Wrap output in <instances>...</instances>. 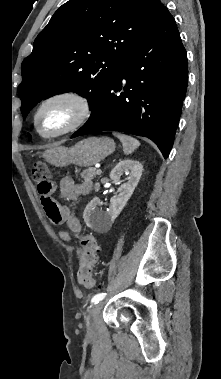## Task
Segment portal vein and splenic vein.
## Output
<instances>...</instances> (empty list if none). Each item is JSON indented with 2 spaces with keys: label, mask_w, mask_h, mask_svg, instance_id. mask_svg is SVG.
Here are the masks:
<instances>
[{
  "label": "portal vein and splenic vein",
  "mask_w": 221,
  "mask_h": 379,
  "mask_svg": "<svg viewBox=\"0 0 221 379\" xmlns=\"http://www.w3.org/2000/svg\"><path fill=\"white\" fill-rule=\"evenodd\" d=\"M96 169H97V170H96L97 173H98V174H101V170H100L97 166H96Z\"/></svg>",
  "instance_id": "1"
}]
</instances>
